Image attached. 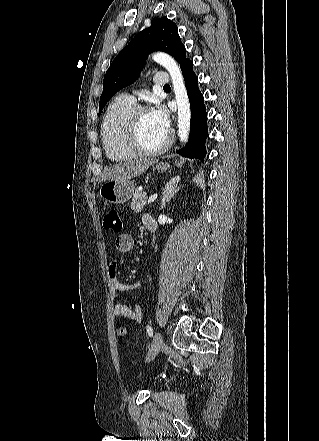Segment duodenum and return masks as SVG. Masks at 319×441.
<instances>
[{
  "mask_svg": "<svg viewBox=\"0 0 319 441\" xmlns=\"http://www.w3.org/2000/svg\"><path fill=\"white\" fill-rule=\"evenodd\" d=\"M148 230L149 231H154L155 230V226L154 225H149L148 226Z\"/></svg>",
  "mask_w": 319,
  "mask_h": 441,
  "instance_id": "1",
  "label": "duodenum"
}]
</instances>
